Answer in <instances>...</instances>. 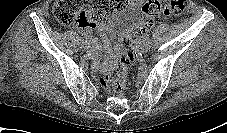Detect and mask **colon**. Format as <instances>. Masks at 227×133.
<instances>
[{"label": "colon", "instance_id": "5ec220e1", "mask_svg": "<svg viewBox=\"0 0 227 133\" xmlns=\"http://www.w3.org/2000/svg\"><path fill=\"white\" fill-rule=\"evenodd\" d=\"M128 0H55L53 14L65 26L78 23L91 26L103 22L114 12L120 10ZM186 0H147L141 9L138 24L131 34L123 37L117 44L119 65L99 75V84L108 92H120L126 87L128 67L136 58L135 40L151 28L162 16H178L186 9Z\"/></svg>", "mask_w": 227, "mask_h": 133}]
</instances>
